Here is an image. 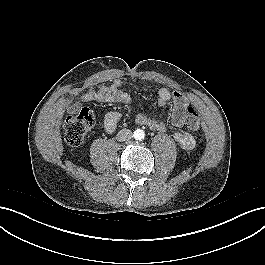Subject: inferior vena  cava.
I'll use <instances>...</instances> for the list:
<instances>
[{"instance_id": "602c4592", "label": "inferior vena cava", "mask_w": 265, "mask_h": 265, "mask_svg": "<svg viewBox=\"0 0 265 265\" xmlns=\"http://www.w3.org/2000/svg\"><path fill=\"white\" fill-rule=\"evenodd\" d=\"M133 137L132 132L129 129H122L117 134V141H126L130 140Z\"/></svg>"}]
</instances>
